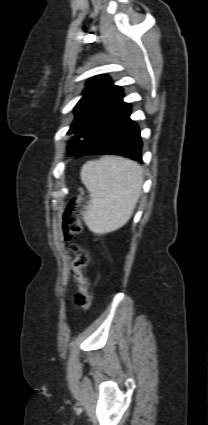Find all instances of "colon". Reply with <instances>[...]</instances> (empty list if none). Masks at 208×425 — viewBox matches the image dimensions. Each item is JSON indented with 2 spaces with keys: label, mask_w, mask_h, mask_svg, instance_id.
I'll return each mask as SVG.
<instances>
[{
  "label": "colon",
  "mask_w": 208,
  "mask_h": 425,
  "mask_svg": "<svg viewBox=\"0 0 208 425\" xmlns=\"http://www.w3.org/2000/svg\"><path fill=\"white\" fill-rule=\"evenodd\" d=\"M84 200L85 191L80 187L78 189V195L70 200L65 209L62 230L64 239L67 242L78 236L82 231L81 211ZM69 249L74 254V259L70 267V274L76 285L74 299L83 310H88L91 306L89 280L84 275L83 270L89 263V253L86 249L75 243L70 244Z\"/></svg>",
  "instance_id": "colon-1"
}]
</instances>
